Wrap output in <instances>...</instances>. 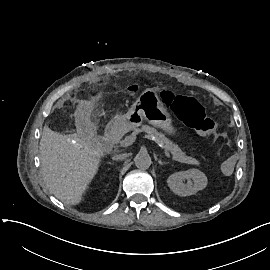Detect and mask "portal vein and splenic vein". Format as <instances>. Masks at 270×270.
Here are the masks:
<instances>
[{
    "instance_id": "18ae733b",
    "label": "portal vein and splenic vein",
    "mask_w": 270,
    "mask_h": 270,
    "mask_svg": "<svg viewBox=\"0 0 270 270\" xmlns=\"http://www.w3.org/2000/svg\"><path fill=\"white\" fill-rule=\"evenodd\" d=\"M139 139H142V136H139ZM136 141H137V137L134 136V135H131V136H129V137L126 139V142H127L128 144H134V143H136ZM159 146H160V147H163V145H162L161 143H159ZM162 152L166 155V157H167L169 160L172 158V156L170 155V153H169L168 151H166L165 149H164Z\"/></svg>"
}]
</instances>
